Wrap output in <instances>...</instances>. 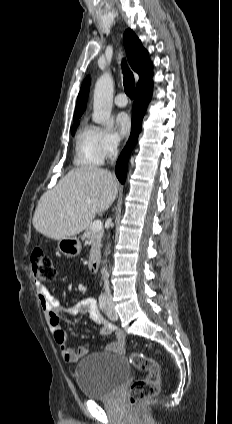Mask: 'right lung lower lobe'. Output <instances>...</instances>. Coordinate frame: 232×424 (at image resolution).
I'll use <instances>...</instances> for the list:
<instances>
[{"label": "right lung lower lobe", "instance_id": "1", "mask_svg": "<svg viewBox=\"0 0 232 424\" xmlns=\"http://www.w3.org/2000/svg\"><path fill=\"white\" fill-rule=\"evenodd\" d=\"M151 95L152 81L142 87L136 88L134 104L132 108V133L129 141L126 144V147L117 160L115 169L116 176L122 184L125 182L128 158L141 130L142 119L145 115L147 105L151 99Z\"/></svg>", "mask_w": 232, "mask_h": 424}]
</instances>
